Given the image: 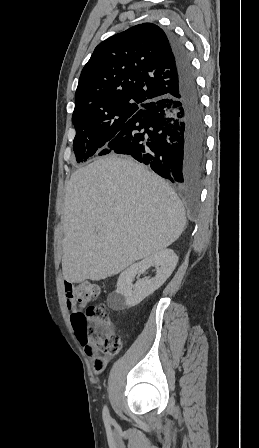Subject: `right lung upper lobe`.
Instances as JSON below:
<instances>
[{
	"mask_svg": "<svg viewBox=\"0 0 259 448\" xmlns=\"http://www.w3.org/2000/svg\"><path fill=\"white\" fill-rule=\"evenodd\" d=\"M177 86L167 34L153 23L139 24L95 48L79 78L73 115L146 106Z\"/></svg>",
	"mask_w": 259,
	"mask_h": 448,
	"instance_id": "right-lung-upper-lobe-1",
	"label": "right lung upper lobe"
}]
</instances>
